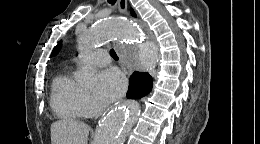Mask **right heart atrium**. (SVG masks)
I'll use <instances>...</instances> for the list:
<instances>
[{"instance_id": "right-heart-atrium-1", "label": "right heart atrium", "mask_w": 260, "mask_h": 144, "mask_svg": "<svg viewBox=\"0 0 260 144\" xmlns=\"http://www.w3.org/2000/svg\"><path fill=\"white\" fill-rule=\"evenodd\" d=\"M82 103L85 114H89L94 108V101L89 93L84 92L82 97Z\"/></svg>"}]
</instances>
